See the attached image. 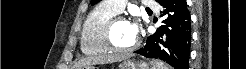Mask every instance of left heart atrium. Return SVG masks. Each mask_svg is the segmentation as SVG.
<instances>
[{"label":"left heart atrium","mask_w":246,"mask_h":69,"mask_svg":"<svg viewBox=\"0 0 246 69\" xmlns=\"http://www.w3.org/2000/svg\"><path fill=\"white\" fill-rule=\"evenodd\" d=\"M129 25H130V28H131L133 35L135 37H137L138 33H139V27H138L137 22L135 20H131V21H129Z\"/></svg>","instance_id":"39dd6f15"}]
</instances>
